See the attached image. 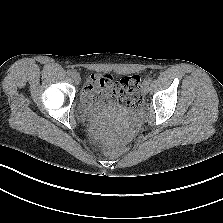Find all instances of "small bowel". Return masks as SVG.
<instances>
[{
	"label": "small bowel",
	"instance_id": "obj_1",
	"mask_svg": "<svg viewBox=\"0 0 223 223\" xmlns=\"http://www.w3.org/2000/svg\"><path fill=\"white\" fill-rule=\"evenodd\" d=\"M115 82L110 75H92L83 89V95L89 103L96 101L116 103L121 94Z\"/></svg>",
	"mask_w": 223,
	"mask_h": 223
}]
</instances>
